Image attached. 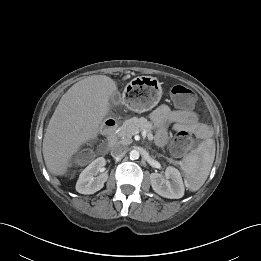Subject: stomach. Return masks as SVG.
Wrapping results in <instances>:
<instances>
[{
    "instance_id": "1",
    "label": "stomach",
    "mask_w": 261,
    "mask_h": 261,
    "mask_svg": "<svg viewBox=\"0 0 261 261\" xmlns=\"http://www.w3.org/2000/svg\"><path fill=\"white\" fill-rule=\"evenodd\" d=\"M161 95V84L156 78L138 77L126 85L123 103L128 109L136 113H143L156 106Z\"/></svg>"
}]
</instances>
